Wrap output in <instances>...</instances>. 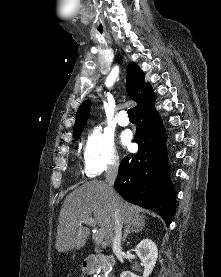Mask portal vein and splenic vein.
Here are the masks:
<instances>
[{"mask_svg": "<svg viewBox=\"0 0 221 277\" xmlns=\"http://www.w3.org/2000/svg\"><path fill=\"white\" fill-rule=\"evenodd\" d=\"M81 223L89 224L91 226H95L96 224L95 220L92 218H86ZM103 239H104V233L102 231H97L96 234L94 235V240L96 244H103L104 243Z\"/></svg>", "mask_w": 221, "mask_h": 277, "instance_id": "portal-vein-and-splenic-vein-1", "label": "portal vein and splenic vein"}]
</instances>
